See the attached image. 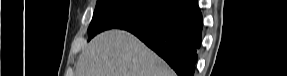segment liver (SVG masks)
<instances>
[{
  "instance_id": "obj_1",
  "label": "liver",
  "mask_w": 287,
  "mask_h": 76,
  "mask_svg": "<svg viewBox=\"0 0 287 76\" xmlns=\"http://www.w3.org/2000/svg\"><path fill=\"white\" fill-rule=\"evenodd\" d=\"M77 76H175L137 37L123 30L97 35L81 52Z\"/></svg>"
}]
</instances>
